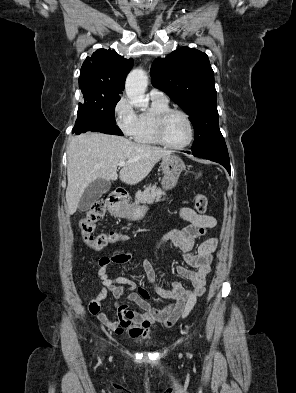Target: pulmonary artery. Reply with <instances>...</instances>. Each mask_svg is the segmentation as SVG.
I'll list each match as a JSON object with an SVG mask.
<instances>
[{
	"label": "pulmonary artery",
	"mask_w": 296,
	"mask_h": 393,
	"mask_svg": "<svg viewBox=\"0 0 296 393\" xmlns=\"http://www.w3.org/2000/svg\"><path fill=\"white\" fill-rule=\"evenodd\" d=\"M149 95H150L151 99H153V100L168 103L167 95L161 90L153 88L150 90Z\"/></svg>",
	"instance_id": "pulmonary-artery-1"
}]
</instances>
